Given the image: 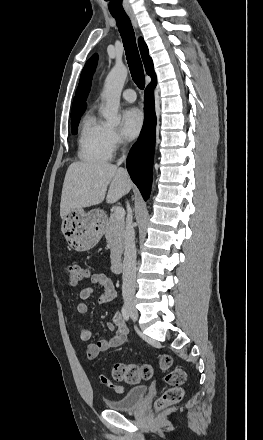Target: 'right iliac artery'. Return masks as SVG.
I'll return each instance as SVG.
<instances>
[{"label": "right iliac artery", "instance_id": "1", "mask_svg": "<svg viewBox=\"0 0 263 440\" xmlns=\"http://www.w3.org/2000/svg\"><path fill=\"white\" fill-rule=\"evenodd\" d=\"M121 312H122V315H123L124 320H125V321H129L130 314H129V311H128V309L126 308L125 305H123V307H122V309H121Z\"/></svg>", "mask_w": 263, "mask_h": 440}]
</instances>
